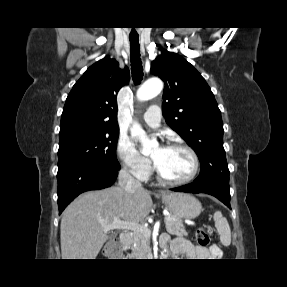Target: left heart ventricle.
I'll use <instances>...</instances> for the list:
<instances>
[{
    "label": "left heart ventricle",
    "instance_id": "obj_1",
    "mask_svg": "<svg viewBox=\"0 0 287 287\" xmlns=\"http://www.w3.org/2000/svg\"><path fill=\"white\" fill-rule=\"evenodd\" d=\"M151 157L162 174L172 180L184 179L193 170L192 157L184 149L157 147L153 150Z\"/></svg>",
    "mask_w": 287,
    "mask_h": 287
}]
</instances>
